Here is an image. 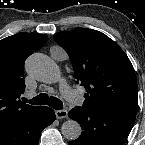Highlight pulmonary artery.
I'll return each mask as SVG.
<instances>
[{
  "label": "pulmonary artery",
  "mask_w": 145,
  "mask_h": 145,
  "mask_svg": "<svg viewBox=\"0 0 145 145\" xmlns=\"http://www.w3.org/2000/svg\"><path fill=\"white\" fill-rule=\"evenodd\" d=\"M63 96L71 103H81L82 97L69 86H64L61 89Z\"/></svg>",
  "instance_id": "1"
}]
</instances>
